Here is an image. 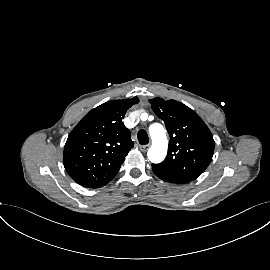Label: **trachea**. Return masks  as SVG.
I'll use <instances>...</instances> for the list:
<instances>
[{"label": "trachea", "mask_w": 270, "mask_h": 270, "mask_svg": "<svg viewBox=\"0 0 270 270\" xmlns=\"http://www.w3.org/2000/svg\"><path fill=\"white\" fill-rule=\"evenodd\" d=\"M137 137L140 144L142 145L148 144L149 137L145 130H140L137 134Z\"/></svg>", "instance_id": "1"}]
</instances>
